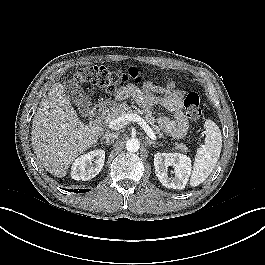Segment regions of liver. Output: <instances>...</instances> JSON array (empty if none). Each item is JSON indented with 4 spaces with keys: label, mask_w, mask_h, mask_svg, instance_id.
Wrapping results in <instances>:
<instances>
[{
    "label": "liver",
    "mask_w": 265,
    "mask_h": 265,
    "mask_svg": "<svg viewBox=\"0 0 265 265\" xmlns=\"http://www.w3.org/2000/svg\"><path fill=\"white\" fill-rule=\"evenodd\" d=\"M98 135L96 127L79 119L64 86L53 84L39 104L31 131L33 150L46 170L64 177L75 158L96 143Z\"/></svg>",
    "instance_id": "6515ba94"
}]
</instances>
